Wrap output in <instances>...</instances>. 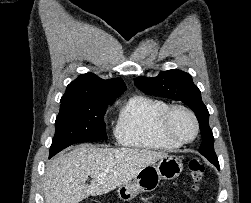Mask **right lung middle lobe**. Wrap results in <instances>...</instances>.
I'll list each match as a JSON object with an SVG mask.
<instances>
[{
	"instance_id": "dd1d6c3e",
	"label": "right lung middle lobe",
	"mask_w": 251,
	"mask_h": 203,
	"mask_svg": "<svg viewBox=\"0 0 251 203\" xmlns=\"http://www.w3.org/2000/svg\"><path fill=\"white\" fill-rule=\"evenodd\" d=\"M113 102H81L60 106L49 158L62 149L81 142L106 140L104 115Z\"/></svg>"
}]
</instances>
